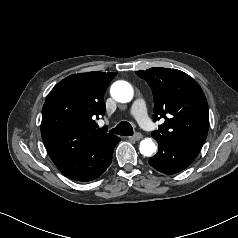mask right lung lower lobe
I'll return each mask as SVG.
<instances>
[{"instance_id":"98d812e1","label":"right lung lower lobe","mask_w":238,"mask_h":238,"mask_svg":"<svg viewBox=\"0 0 238 238\" xmlns=\"http://www.w3.org/2000/svg\"><path fill=\"white\" fill-rule=\"evenodd\" d=\"M120 141V138L118 140H116L108 150L104 151V153H102V159L101 162L98 164V166L91 171L90 173L83 175L79 178L73 179V180H77V181H91L96 179L97 177H99L110 165L111 161H112V155H113V150L114 147L117 145V143Z\"/></svg>"}]
</instances>
